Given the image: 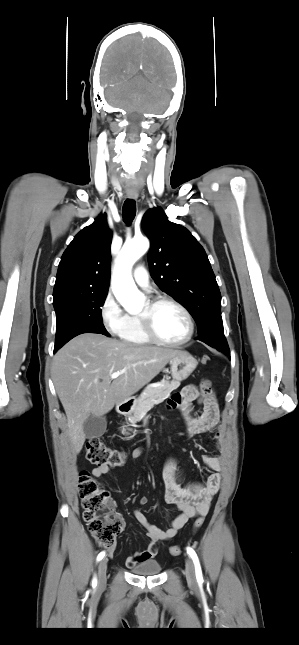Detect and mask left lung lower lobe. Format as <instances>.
Listing matches in <instances>:
<instances>
[{
  "label": "left lung lower lobe",
  "instance_id": "obj_1",
  "mask_svg": "<svg viewBox=\"0 0 299 645\" xmlns=\"http://www.w3.org/2000/svg\"><path fill=\"white\" fill-rule=\"evenodd\" d=\"M221 351H223L224 353H226L228 356L230 355L228 345H227V346H225V347H223Z\"/></svg>",
  "mask_w": 299,
  "mask_h": 645
}]
</instances>
